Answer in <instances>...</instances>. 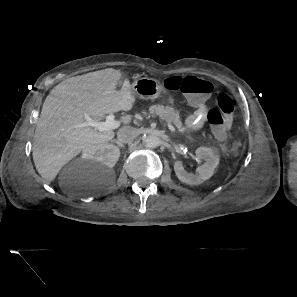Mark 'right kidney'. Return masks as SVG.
<instances>
[{
	"label": "right kidney",
	"mask_w": 297,
	"mask_h": 297,
	"mask_svg": "<svg viewBox=\"0 0 297 297\" xmlns=\"http://www.w3.org/2000/svg\"><path fill=\"white\" fill-rule=\"evenodd\" d=\"M120 156L118 147L104 143L92 145L83 151L82 158L94 164L105 165L109 168L115 166Z\"/></svg>",
	"instance_id": "obj_1"
}]
</instances>
